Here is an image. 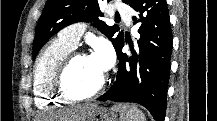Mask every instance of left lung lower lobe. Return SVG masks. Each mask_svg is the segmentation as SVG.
Masks as SVG:
<instances>
[{
	"instance_id": "0a47b994",
	"label": "left lung lower lobe",
	"mask_w": 217,
	"mask_h": 121,
	"mask_svg": "<svg viewBox=\"0 0 217 121\" xmlns=\"http://www.w3.org/2000/svg\"><path fill=\"white\" fill-rule=\"evenodd\" d=\"M141 23L140 38L132 54L122 52L126 40L116 49L119 69L111 88L100 101L134 102L147 108L156 121H164L172 53V30L166 0H131Z\"/></svg>"
}]
</instances>
